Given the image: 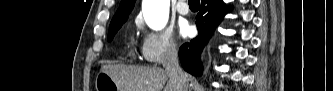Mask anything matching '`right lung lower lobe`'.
Listing matches in <instances>:
<instances>
[{
	"label": "right lung lower lobe",
	"instance_id": "98d812e1",
	"mask_svg": "<svg viewBox=\"0 0 333 91\" xmlns=\"http://www.w3.org/2000/svg\"><path fill=\"white\" fill-rule=\"evenodd\" d=\"M226 5L223 0H202L200 12L196 16L198 36L183 44L179 49V58L183 68L192 75L202 73L200 63L201 49L211 37L214 29L223 19L226 13Z\"/></svg>",
	"mask_w": 333,
	"mask_h": 91
}]
</instances>
